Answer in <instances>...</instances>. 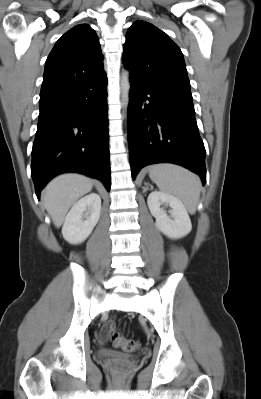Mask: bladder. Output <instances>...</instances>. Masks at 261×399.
<instances>
[{
  "label": "bladder",
  "mask_w": 261,
  "mask_h": 399,
  "mask_svg": "<svg viewBox=\"0 0 261 399\" xmlns=\"http://www.w3.org/2000/svg\"><path fill=\"white\" fill-rule=\"evenodd\" d=\"M97 355L101 358H128V355H121L113 350L99 349L97 350Z\"/></svg>",
  "instance_id": "31cf9c89"
}]
</instances>
